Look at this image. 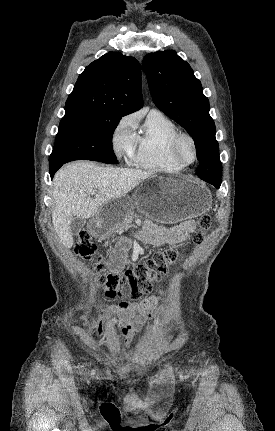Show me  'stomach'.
I'll use <instances>...</instances> for the list:
<instances>
[{
	"label": "stomach",
	"instance_id": "1",
	"mask_svg": "<svg viewBox=\"0 0 275 431\" xmlns=\"http://www.w3.org/2000/svg\"><path fill=\"white\" fill-rule=\"evenodd\" d=\"M151 178L155 186H140L133 198L123 196L103 205L90 225V232L100 239L109 237L135 207L147 217L165 224L196 218L210 210V192L193 180L186 177Z\"/></svg>",
	"mask_w": 275,
	"mask_h": 431
}]
</instances>
